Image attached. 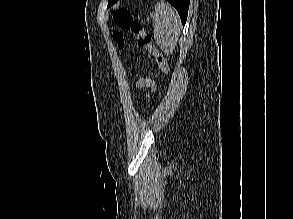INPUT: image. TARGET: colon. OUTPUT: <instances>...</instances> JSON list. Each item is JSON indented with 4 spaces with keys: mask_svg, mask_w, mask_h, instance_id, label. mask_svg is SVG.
<instances>
[{
    "mask_svg": "<svg viewBox=\"0 0 293 219\" xmlns=\"http://www.w3.org/2000/svg\"><path fill=\"white\" fill-rule=\"evenodd\" d=\"M113 19L118 28L113 34V38L119 47H124V39L121 30L129 31L137 40L139 46L151 54L160 69L168 77L170 68L166 57L156 48L151 34L145 29L141 21L134 18L130 10L126 7H119L113 13Z\"/></svg>",
    "mask_w": 293,
    "mask_h": 219,
    "instance_id": "5ec220e1",
    "label": "colon"
}]
</instances>
